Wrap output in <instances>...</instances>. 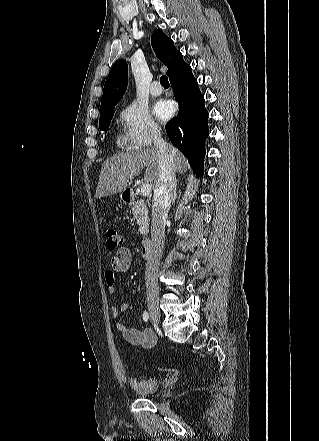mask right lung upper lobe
Segmentation results:
<instances>
[{
  "instance_id": "obj_1",
  "label": "right lung upper lobe",
  "mask_w": 319,
  "mask_h": 441,
  "mask_svg": "<svg viewBox=\"0 0 319 441\" xmlns=\"http://www.w3.org/2000/svg\"><path fill=\"white\" fill-rule=\"evenodd\" d=\"M151 43L156 56L168 67L169 78L187 66L183 61L182 54L174 47L173 41L161 30L153 32ZM127 84V63L124 60H118L112 66L106 79L100 110L115 106L125 93Z\"/></svg>"
}]
</instances>
